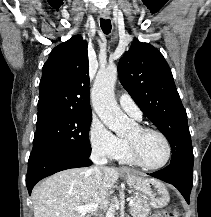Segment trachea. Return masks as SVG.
<instances>
[{"mask_svg":"<svg viewBox=\"0 0 211 217\" xmlns=\"http://www.w3.org/2000/svg\"><path fill=\"white\" fill-rule=\"evenodd\" d=\"M100 26L105 34H109L111 32L112 25L110 19L100 18Z\"/></svg>","mask_w":211,"mask_h":217,"instance_id":"1","label":"trachea"}]
</instances>
